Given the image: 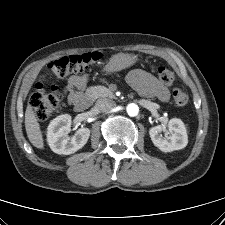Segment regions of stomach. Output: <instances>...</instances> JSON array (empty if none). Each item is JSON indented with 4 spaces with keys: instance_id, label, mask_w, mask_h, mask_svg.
<instances>
[{
    "instance_id": "obj_1",
    "label": "stomach",
    "mask_w": 225,
    "mask_h": 225,
    "mask_svg": "<svg viewBox=\"0 0 225 225\" xmlns=\"http://www.w3.org/2000/svg\"><path fill=\"white\" fill-rule=\"evenodd\" d=\"M135 63V57L131 54L119 53L113 55L104 67L106 73H114L130 67Z\"/></svg>"
}]
</instances>
